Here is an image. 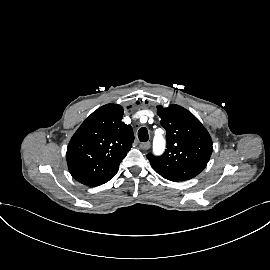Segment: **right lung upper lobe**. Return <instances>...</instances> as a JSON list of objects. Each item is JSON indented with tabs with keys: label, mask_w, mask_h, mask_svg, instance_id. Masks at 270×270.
<instances>
[{
	"label": "right lung upper lobe",
	"mask_w": 270,
	"mask_h": 270,
	"mask_svg": "<svg viewBox=\"0 0 270 270\" xmlns=\"http://www.w3.org/2000/svg\"><path fill=\"white\" fill-rule=\"evenodd\" d=\"M123 112L121 105H104L71 138L66 159L71 175L80 183L99 186L118 172L134 141L131 125L122 122Z\"/></svg>",
	"instance_id": "1"
}]
</instances>
